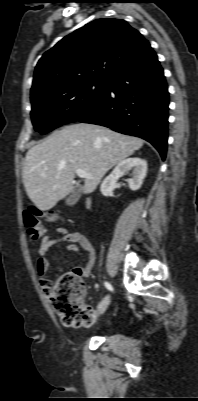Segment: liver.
Masks as SVG:
<instances>
[{"mask_svg": "<svg viewBox=\"0 0 198 401\" xmlns=\"http://www.w3.org/2000/svg\"><path fill=\"white\" fill-rule=\"evenodd\" d=\"M143 143L98 125L65 126L28 150L22 175L26 193L39 209L49 210L73 191L76 170L81 169L92 176L81 187L89 194L108 170Z\"/></svg>", "mask_w": 198, "mask_h": 401, "instance_id": "liver-1", "label": "liver"}]
</instances>
